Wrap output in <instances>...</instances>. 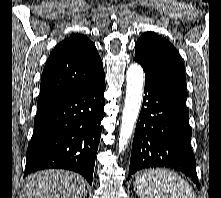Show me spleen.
Listing matches in <instances>:
<instances>
[{"mask_svg":"<svg viewBox=\"0 0 221 198\" xmlns=\"http://www.w3.org/2000/svg\"><path fill=\"white\" fill-rule=\"evenodd\" d=\"M134 190L140 198H196L187 181L165 168L139 174L134 181Z\"/></svg>","mask_w":221,"mask_h":198,"instance_id":"3e777b00","label":"spleen"}]
</instances>
